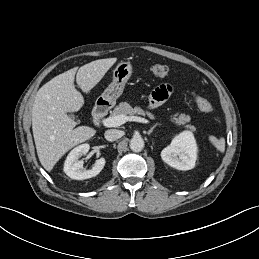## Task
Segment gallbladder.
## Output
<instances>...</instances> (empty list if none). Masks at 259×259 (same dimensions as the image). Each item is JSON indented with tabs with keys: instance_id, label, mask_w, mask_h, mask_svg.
<instances>
[{
	"instance_id": "bac80fb5",
	"label": "gallbladder",
	"mask_w": 259,
	"mask_h": 259,
	"mask_svg": "<svg viewBox=\"0 0 259 259\" xmlns=\"http://www.w3.org/2000/svg\"><path fill=\"white\" fill-rule=\"evenodd\" d=\"M73 119H75L76 120V122H79V119H77V117L75 116V115H70Z\"/></svg>"
}]
</instances>
